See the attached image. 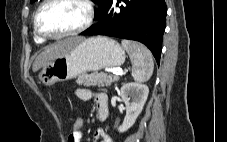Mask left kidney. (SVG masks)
<instances>
[{"label":"left kidney","instance_id":"1","mask_svg":"<svg viewBox=\"0 0 227 142\" xmlns=\"http://www.w3.org/2000/svg\"><path fill=\"white\" fill-rule=\"evenodd\" d=\"M149 88L141 83H126L121 87L120 96L126 105V116L118 131L123 133L133 126L142 112L147 100Z\"/></svg>","mask_w":227,"mask_h":142}]
</instances>
